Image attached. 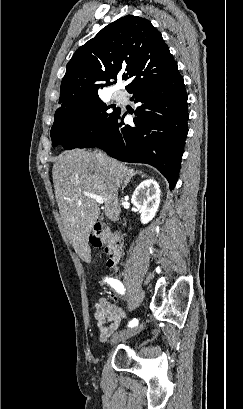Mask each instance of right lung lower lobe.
<instances>
[{
  "instance_id": "obj_1",
  "label": "right lung lower lobe",
  "mask_w": 243,
  "mask_h": 409,
  "mask_svg": "<svg viewBox=\"0 0 243 409\" xmlns=\"http://www.w3.org/2000/svg\"><path fill=\"white\" fill-rule=\"evenodd\" d=\"M135 103L134 125L123 122L120 110L111 122L77 148L98 147L125 162L146 163L157 168L172 190L177 182L188 133L187 93L177 67L156 79L128 90Z\"/></svg>"
}]
</instances>
